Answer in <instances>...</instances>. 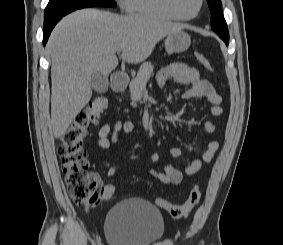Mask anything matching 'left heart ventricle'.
I'll list each match as a JSON object with an SVG mask.
<instances>
[{"label": "left heart ventricle", "mask_w": 283, "mask_h": 245, "mask_svg": "<svg viewBox=\"0 0 283 245\" xmlns=\"http://www.w3.org/2000/svg\"><path fill=\"white\" fill-rule=\"evenodd\" d=\"M177 11L184 16L193 14L198 7V0H175Z\"/></svg>", "instance_id": "left-heart-ventricle-1"}]
</instances>
